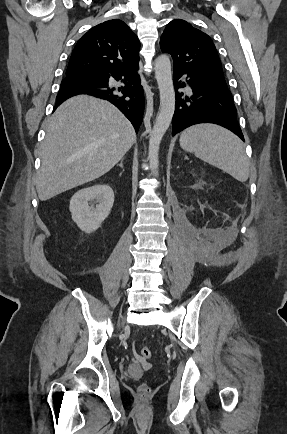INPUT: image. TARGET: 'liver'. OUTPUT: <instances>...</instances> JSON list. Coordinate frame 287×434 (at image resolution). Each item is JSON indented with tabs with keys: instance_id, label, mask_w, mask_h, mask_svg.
<instances>
[{
	"instance_id": "1",
	"label": "liver",
	"mask_w": 287,
	"mask_h": 434,
	"mask_svg": "<svg viewBox=\"0 0 287 434\" xmlns=\"http://www.w3.org/2000/svg\"><path fill=\"white\" fill-rule=\"evenodd\" d=\"M136 141L129 120L111 103L78 95L48 121L36 189L41 201L110 171Z\"/></svg>"
}]
</instances>
